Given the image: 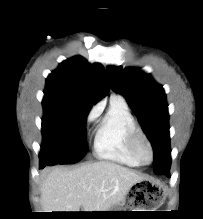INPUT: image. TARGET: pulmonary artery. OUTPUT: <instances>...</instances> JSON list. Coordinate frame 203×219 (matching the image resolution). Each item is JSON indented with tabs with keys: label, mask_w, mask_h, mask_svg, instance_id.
Listing matches in <instances>:
<instances>
[{
	"label": "pulmonary artery",
	"mask_w": 203,
	"mask_h": 219,
	"mask_svg": "<svg viewBox=\"0 0 203 219\" xmlns=\"http://www.w3.org/2000/svg\"><path fill=\"white\" fill-rule=\"evenodd\" d=\"M112 98H115V99H117V100H120V101H122V102H125L124 99H123V97H121V96H119V95H114Z\"/></svg>",
	"instance_id": "e3ab8cb5"
}]
</instances>
